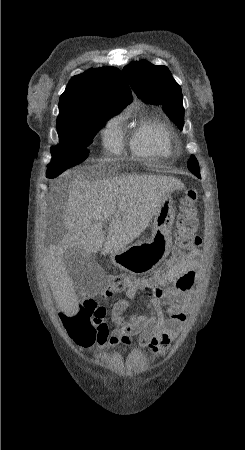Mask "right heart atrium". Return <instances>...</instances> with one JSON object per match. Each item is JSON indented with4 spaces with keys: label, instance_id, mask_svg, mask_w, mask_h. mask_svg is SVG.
Masks as SVG:
<instances>
[{
    "label": "right heart atrium",
    "instance_id": "obj_1",
    "mask_svg": "<svg viewBox=\"0 0 245 450\" xmlns=\"http://www.w3.org/2000/svg\"><path fill=\"white\" fill-rule=\"evenodd\" d=\"M102 140L106 149L112 153H120L123 149V137L120 129V119L111 118L102 133Z\"/></svg>",
    "mask_w": 245,
    "mask_h": 450
}]
</instances>
